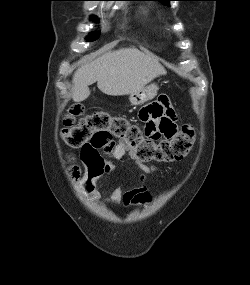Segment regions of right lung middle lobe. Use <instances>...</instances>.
Segmentation results:
<instances>
[{
	"instance_id": "right-lung-middle-lobe-1",
	"label": "right lung middle lobe",
	"mask_w": 250,
	"mask_h": 285,
	"mask_svg": "<svg viewBox=\"0 0 250 285\" xmlns=\"http://www.w3.org/2000/svg\"><path fill=\"white\" fill-rule=\"evenodd\" d=\"M99 37V34L93 35L89 40L94 41Z\"/></svg>"
}]
</instances>
